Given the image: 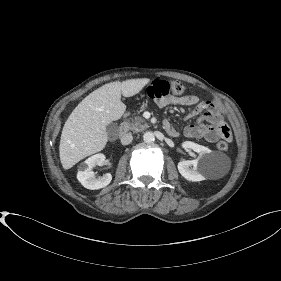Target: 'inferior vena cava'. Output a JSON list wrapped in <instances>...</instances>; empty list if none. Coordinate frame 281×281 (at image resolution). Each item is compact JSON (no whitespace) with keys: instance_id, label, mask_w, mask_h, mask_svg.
<instances>
[{"instance_id":"602c4592","label":"inferior vena cava","mask_w":281,"mask_h":281,"mask_svg":"<svg viewBox=\"0 0 281 281\" xmlns=\"http://www.w3.org/2000/svg\"><path fill=\"white\" fill-rule=\"evenodd\" d=\"M132 140H133V136L130 133L123 134L121 136V143H122V145H128V144H130L132 142Z\"/></svg>"}]
</instances>
